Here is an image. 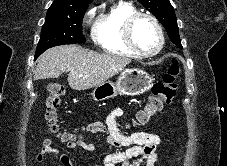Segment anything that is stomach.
I'll return each instance as SVG.
<instances>
[{
	"label": "stomach",
	"mask_w": 227,
	"mask_h": 166,
	"mask_svg": "<svg viewBox=\"0 0 227 166\" xmlns=\"http://www.w3.org/2000/svg\"><path fill=\"white\" fill-rule=\"evenodd\" d=\"M152 81V77L142 69H126L119 74L116 82L107 81L96 86L91 96L95 101L107 100L118 94L136 96L148 91Z\"/></svg>",
	"instance_id": "obj_1"
}]
</instances>
